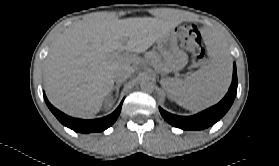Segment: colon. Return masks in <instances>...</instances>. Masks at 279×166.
<instances>
[{
  "instance_id": "5ec220e1",
  "label": "colon",
  "mask_w": 279,
  "mask_h": 166,
  "mask_svg": "<svg viewBox=\"0 0 279 166\" xmlns=\"http://www.w3.org/2000/svg\"><path fill=\"white\" fill-rule=\"evenodd\" d=\"M177 36L181 47L190 52L196 62H201L205 50L198 28L195 25H182L177 29Z\"/></svg>"
}]
</instances>
